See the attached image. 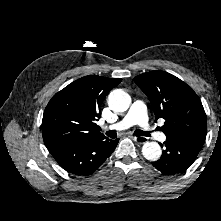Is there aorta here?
<instances>
[{
	"instance_id": "obj_1",
	"label": "aorta",
	"mask_w": 221,
	"mask_h": 221,
	"mask_svg": "<svg viewBox=\"0 0 221 221\" xmlns=\"http://www.w3.org/2000/svg\"><path fill=\"white\" fill-rule=\"evenodd\" d=\"M108 104L113 111L123 112L129 108L131 97L122 89H116L109 94ZM161 153V147L157 142H146L142 147L144 158L150 161H157Z\"/></svg>"
}]
</instances>
